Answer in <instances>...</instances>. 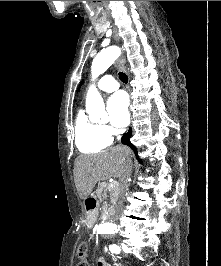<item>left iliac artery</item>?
I'll use <instances>...</instances> for the list:
<instances>
[{
    "mask_svg": "<svg viewBox=\"0 0 221 266\" xmlns=\"http://www.w3.org/2000/svg\"><path fill=\"white\" fill-rule=\"evenodd\" d=\"M109 250L111 251V253H120V247L116 244L110 245Z\"/></svg>",
    "mask_w": 221,
    "mask_h": 266,
    "instance_id": "left-iliac-artery-1",
    "label": "left iliac artery"
}]
</instances>
